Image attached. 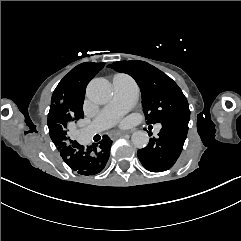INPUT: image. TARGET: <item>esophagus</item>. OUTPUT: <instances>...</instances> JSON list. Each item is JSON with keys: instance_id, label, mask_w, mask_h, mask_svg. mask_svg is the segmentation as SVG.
<instances>
[{"instance_id": "esophagus-1", "label": "esophagus", "mask_w": 241, "mask_h": 241, "mask_svg": "<svg viewBox=\"0 0 241 241\" xmlns=\"http://www.w3.org/2000/svg\"><path fill=\"white\" fill-rule=\"evenodd\" d=\"M126 133L125 132H112L110 134V138L115 139L121 136H124Z\"/></svg>"}]
</instances>
